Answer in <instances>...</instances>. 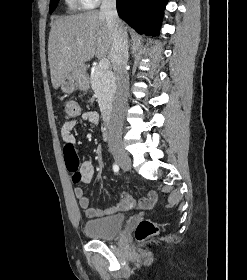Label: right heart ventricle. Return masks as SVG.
Returning a JSON list of instances; mask_svg holds the SVG:
<instances>
[{
    "label": "right heart ventricle",
    "mask_w": 247,
    "mask_h": 280,
    "mask_svg": "<svg viewBox=\"0 0 247 280\" xmlns=\"http://www.w3.org/2000/svg\"><path fill=\"white\" fill-rule=\"evenodd\" d=\"M66 2L70 9H77L80 5H82L79 0H66Z\"/></svg>",
    "instance_id": "e07e8e85"
}]
</instances>
